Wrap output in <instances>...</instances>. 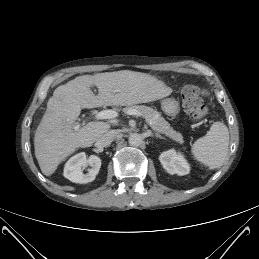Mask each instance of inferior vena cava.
Segmentation results:
<instances>
[{
  "label": "inferior vena cava",
  "instance_id": "inferior-vena-cava-1",
  "mask_svg": "<svg viewBox=\"0 0 259 259\" xmlns=\"http://www.w3.org/2000/svg\"><path fill=\"white\" fill-rule=\"evenodd\" d=\"M116 135H117V132L115 130L108 131L98 139L96 144L102 147H107L111 144V142L114 140Z\"/></svg>",
  "mask_w": 259,
  "mask_h": 259
}]
</instances>
